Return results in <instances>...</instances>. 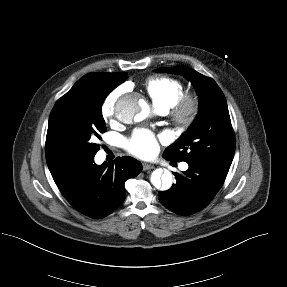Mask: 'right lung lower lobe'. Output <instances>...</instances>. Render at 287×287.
Instances as JSON below:
<instances>
[{
  "label": "right lung lower lobe",
  "instance_id": "98d812e1",
  "mask_svg": "<svg viewBox=\"0 0 287 287\" xmlns=\"http://www.w3.org/2000/svg\"><path fill=\"white\" fill-rule=\"evenodd\" d=\"M142 164L136 159L118 157L115 163L96 165L94 157L69 169L55 183L66 200L91 218H103L122 205L128 178L137 176Z\"/></svg>",
  "mask_w": 287,
  "mask_h": 287
}]
</instances>
